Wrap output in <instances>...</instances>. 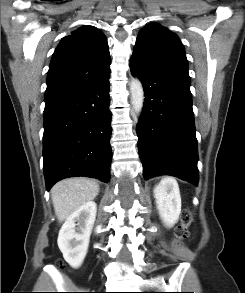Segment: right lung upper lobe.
<instances>
[{
    "label": "right lung upper lobe",
    "instance_id": "cb5924a9",
    "mask_svg": "<svg viewBox=\"0 0 245 293\" xmlns=\"http://www.w3.org/2000/svg\"><path fill=\"white\" fill-rule=\"evenodd\" d=\"M106 36L82 26L57 46L48 71L45 103L61 99L110 73Z\"/></svg>",
    "mask_w": 245,
    "mask_h": 293
}]
</instances>
